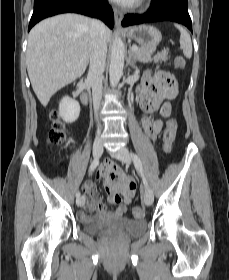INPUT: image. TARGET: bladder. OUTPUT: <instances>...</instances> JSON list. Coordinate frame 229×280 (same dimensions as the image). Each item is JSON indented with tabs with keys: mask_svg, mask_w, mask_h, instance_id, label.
<instances>
[{
	"mask_svg": "<svg viewBox=\"0 0 229 280\" xmlns=\"http://www.w3.org/2000/svg\"><path fill=\"white\" fill-rule=\"evenodd\" d=\"M114 223L117 224L127 236H137L145 233L147 230V223L144 219L123 217L117 219ZM109 224V221L102 219H89L83 221L84 231L93 235L102 233Z\"/></svg>",
	"mask_w": 229,
	"mask_h": 280,
	"instance_id": "bladder-1",
	"label": "bladder"
}]
</instances>
